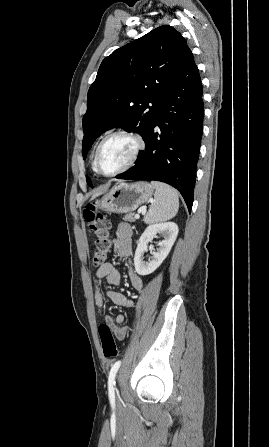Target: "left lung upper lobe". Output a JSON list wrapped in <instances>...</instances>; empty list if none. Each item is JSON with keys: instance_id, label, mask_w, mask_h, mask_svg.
<instances>
[{"instance_id": "left-lung-upper-lobe-1", "label": "left lung upper lobe", "mask_w": 269, "mask_h": 447, "mask_svg": "<svg viewBox=\"0 0 269 447\" xmlns=\"http://www.w3.org/2000/svg\"><path fill=\"white\" fill-rule=\"evenodd\" d=\"M188 49L182 35L165 25L102 61L87 95L84 159L96 138L114 127L137 132L145 139ZM87 183L92 187L90 178Z\"/></svg>"}]
</instances>
